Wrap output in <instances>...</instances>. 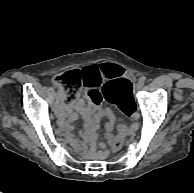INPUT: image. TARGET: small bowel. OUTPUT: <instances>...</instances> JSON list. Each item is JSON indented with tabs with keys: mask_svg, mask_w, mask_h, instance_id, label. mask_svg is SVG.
<instances>
[{
	"mask_svg": "<svg viewBox=\"0 0 194 193\" xmlns=\"http://www.w3.org/2000/svg\"><path fill=\"white\" fill-rule=\"evenodd\" d=\"M120 73V67L113 64L94 66L85 71L84 89L81 95L75 101L62 106L60 125L63 129L66 131L70 129V123L76 117L74 114V110H76L85 119L87 131L92 132L96 128L97 122L102 117H107L109 123L106 125V131L108 133L111 132L116 117L110 108L100 106V92L98 88L110 83L113 78L120 76Z\"/></svg>",
	"mask_w": 194,
	"mask_h": 193,
	"instance_id": "obj_1",
	"label": "small bowel"
}]
</instances>
